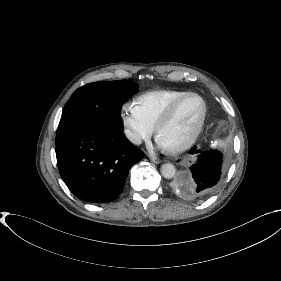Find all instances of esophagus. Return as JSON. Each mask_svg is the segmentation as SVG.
Instances as JSON below:
<instances>
[{"mask_svg": "<svg viewBox=\"0 0 281 281\" xmlns=\"http://www.w3.org/2000/svg\"><path fill=\"white\" fill-rule=\"evenodd\" d=\"M149 157H150L151 161L155 164H159L162 162V160L156 156H149Z\"/></svg>", "mask_w": 281, "mask_h": 281, "instance_id": "1", "label": "esophagus"}]
</instances>
